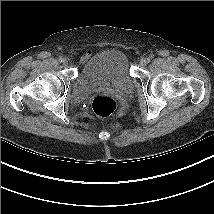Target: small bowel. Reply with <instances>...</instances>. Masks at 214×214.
Wrapping results in <instances>:
<instances>
[{
  "mask_svg": "<svg viewBox=\"0 0 214 214\" xmlns=\"http://www.w3.org/2000/svg\"><path fill=\"white\" fill-rule=\"evenodd\" d=\"M91 55L92 53L90 50L86 51L81 57V62L85 63L91 57Z\"/></svg>",
  "mask_w": 214,
  "mask_h": 214,
  "instance_id": "small-bowel-1",
  "label": "small bowel"
}]
</instances>
